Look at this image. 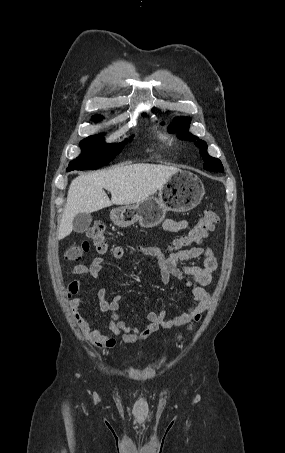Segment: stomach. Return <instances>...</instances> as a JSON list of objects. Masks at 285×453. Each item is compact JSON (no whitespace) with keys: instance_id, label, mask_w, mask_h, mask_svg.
Listing matches in <instances>:
<instances>
[{"instance_id":"obj_1","label":"stomach","mask_w":285,"mask_h":453,"mask_svg":"<svg viewBox=\"0 0 285 453\" xmlns=\"http://www.w3.org/2000/svg\"><path fill=\"white\" fill-rule=\"evenodd\" d=\"M205 190L202 181L188 171L174 173L159 189L158 197H148L134 205L113 209L110 219L120 227L138 222L144 228L160 224L168 211L185 212L196 207Z\"/></svg>"}]
</instances>
